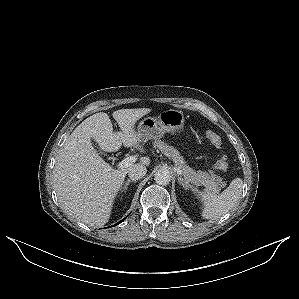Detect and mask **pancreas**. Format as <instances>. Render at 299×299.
I'll return each instance as SVG.
<instances>
[{
	"instance_id": "obj_1",
	"label": "pancreas",
	"mask_w": 299,
	"mask_h": 299,
	"mask_svg": "<svg viewBox=\"0 0 299 299\" xmlns=\"http://www.w3.org/2000/svg\"><path fill=\"white\" fill-rule=\"evenodd\" d=\"M154 147L158 148L163 154L174 161L175 166L181 169L186 182H193L197 185L201 184L213 192H219L221 187L224 186L222 178L215 175L213 172L208 173L201 170L196 172L193 170L186 164L180 153L164 141L156 140L154 142Z\"/></svg>"
}]
</instances>
